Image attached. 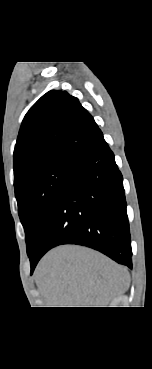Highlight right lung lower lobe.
Returning <instances> with one entry per match:
<instances>
[{
	"instance_id": "1",
	"label": "right lung lower lobe",
	"mask_w": 152,
	"mask_h": 369,
	"mask_svg": "<svg viewBox=\"0 0 152 369\" xmlns=\"http://www.w3.org/2000/svg\"><path fill=\"white\" fill-rule=\"evenodd\" d=\"M123 178L103 136L72 164L30 257L39 259L61 244L98 250L132 268Z\"/></svg>"
}]
</instances>
